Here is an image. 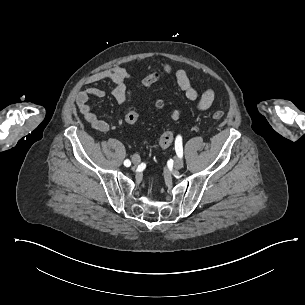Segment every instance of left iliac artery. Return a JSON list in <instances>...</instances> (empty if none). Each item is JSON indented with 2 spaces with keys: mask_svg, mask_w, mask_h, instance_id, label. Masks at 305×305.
Listing matches in <instances>:
<instances>
[{
  "mask_svg": "<svg viewBox=\"0 0 305 305\" xmlns=\"http://www.w3.org/2000/svg\"><path fill=\"white\" fill-rule=\"evenodd\" d=\"M175 150L179 157L183 156L182 138L178 136L175 141Z\"/></svg>",
  "mask_w": 305,
  "mask_h": 305,
  "instance_id": "1",
  "label": "left iliac artery"
}]
</instances>
